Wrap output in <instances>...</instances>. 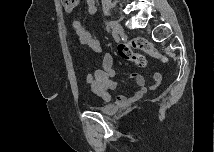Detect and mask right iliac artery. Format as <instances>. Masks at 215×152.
Instances as JSON below:
<instances>
[{
	"mask_svg": "<svg viewBox=\"0 0 215 152\" xmlns=\"http://www.w3.org/2000/svg\"><path fill=\"white\" fill-rule=\"evenodd\" d=\"M112 36L114 37V39H115L116 41H119V37L117 36V34H115L114 32H112Z\"/></svg>",
	"mask_w": 215,
	"mask_h": 152,
	"instance_id": "obj_1",
	"label": "right iliac artery"
}]
</instances>
